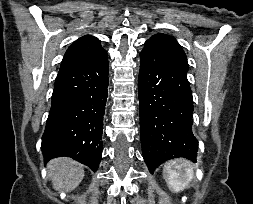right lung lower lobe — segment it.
<instances>
[{
	"instance_id": "right-lung-lower-lobe-1",
	"label": "right lung lower lobe",
	"mask_w": 253,
	"mask_h": 204,
	"mask_svg": "<svg viewBox=\"0 0 253 204\" xmlns=\"http://www.w3.org/2000/svg\"><path fill=\"white\" fill-rule=\"evenodd\" d=\"M108 69L107 52L102 50L58 73L42 137L45 161L68 156L97 170L103 145Z\"/></svg>"
}]
</instances>
